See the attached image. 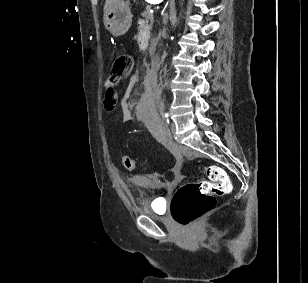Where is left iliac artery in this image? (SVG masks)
I'll use <instances>...</instances> for the list:
<instances>
[{
  "label": "left iliac artery",
  "instance_id": "44dca946",
  "mask_svg": "<svg viewBox=\"0 0 308 283\" xmlns=\"http://www.w3.org/2000/svg\"><path fill=\"white\" fill-rule=\"evenodd\" d=\"M163 118H164V121L166 122V124H169V118H168L167 113L164 114Z\"/></svg>",
  "mask_w": 308,
  "mask_h": 283
}]
</instances>
